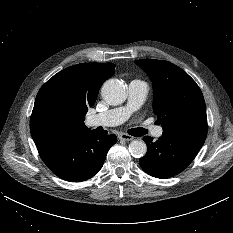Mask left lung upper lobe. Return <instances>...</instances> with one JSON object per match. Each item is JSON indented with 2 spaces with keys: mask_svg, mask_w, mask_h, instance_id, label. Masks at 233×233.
<instances>
[{
  "mask_svg": "<svg viewBox=\"0 0 233 233\" xmlns=\"http://www.w3.org/2000/svg\"><path fill=\"white\" fill-rule=\"evenodd\" d=\"M135 63L153 83V110L163 135L207 136L205 101L196 82L178 66L163 60L142 59Z\"/></svg>",
  "mask_w": 233,
  "mask_h": 233,
  "instance_id": "left-lung-upper-lobe-1",
  "label": "left lung upper lobe"
}]
</instances>
